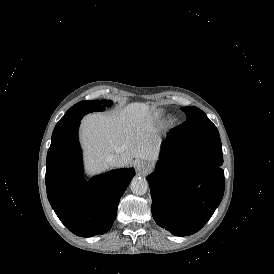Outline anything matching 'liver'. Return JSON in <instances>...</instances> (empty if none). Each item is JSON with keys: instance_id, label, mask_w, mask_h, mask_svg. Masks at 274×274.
Returning a JSON list of instances; mask_svg holds the SVG:
<instances>
[{"instance_id": "6515ba94", "label": "liver", "mask_w": 274, "mask_h": 274, "mask_svg": "<svg viewBox=\"0 0 274 274\" xmlns=\"http://www.w3.org/2000/svg\"><path fill=\"white\" fill-rule=\"evenodd\" d=\"M146 115L144 104L133 103L120 116L114 113L86 117L81 133L90 168L106 166L105 158L112 153L118 155L119 165L131 163L132 157L151 162L148 127L143 121Z\"/></svg>"}]
</instances>
